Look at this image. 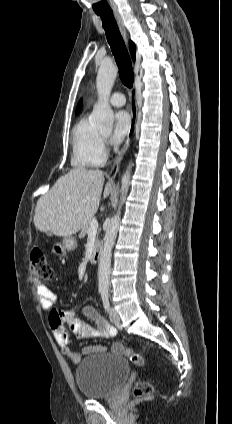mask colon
Segmentation results:
<instances>
[{"label": "colon", "instance_id": "5ec220e1", "mask_svg": "<svg viewBox=\"0 0 232 424\" xmlns=\"http://www.w3.org/2000/svg\"><path fill=\"white\" fill-rule=\"evenodd\" d=\"M30 264H31V271L34 277L40 280H50L53 277V268L51 264L49 263L46 255L44 252L40 249H34L31 252L30 255ZM124 353L130 358V360L138 365L142 366L145 364V360L143 357L131 350L127 347L124 350ZM154 391V387L149 382H138L134 389H133V395L135 397L141 398V397H147L150 396Z\"/></svg>", "mask_w": 232, "mask_h": 424}]
</instances>
